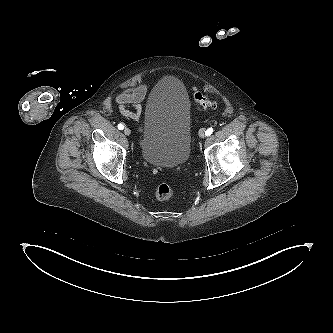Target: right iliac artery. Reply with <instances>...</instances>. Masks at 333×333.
<instances>
[{
    "instance_id": "obj_1",
    "label": "right iliac artery",
    "mask_w": 333,
    "mask_h": 333,
    "mask_svg": "<svg viewBox=\"0 0 333 333\" xmlns=\"http://www.w3.org/2000/svg\"><path fill=\"white\" fill-rule=\"evenodd\" d=\"M118 129L119 130H123L124 129V125L122 123L118 124Z\"/></svg>"
}]
</instances>
